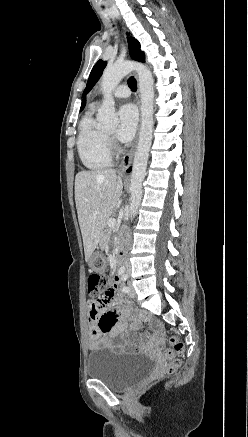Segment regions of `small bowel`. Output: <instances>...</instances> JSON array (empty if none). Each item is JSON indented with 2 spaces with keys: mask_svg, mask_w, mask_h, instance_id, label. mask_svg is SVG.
Returning a JSON list of instances; mask_svg holds the SVG:
<instances>
[{
  "mask_svg": "<svg viewBox=\"0 0 248 437\" xmlns=\"http://www.w3.org/2000/svg\"><path fill=\"white\" fill-rule=\"evenodd\" d=\"M121 299L117 280L100 299L88 302L90 351L112 348L124 352H147L162 343L161 335L156 329L150 335H139L135 338L128 334V310L114 308ZM137 327L136 320L131 324L130 330L134 331ZM117 337L123 338V341L116 344L114 339Z\"/></svg>",
  "mask_w": 248,
  "mask_h": 437,
  "instance_id": "1",
  "label": "small bowel"
}]
</instances>
